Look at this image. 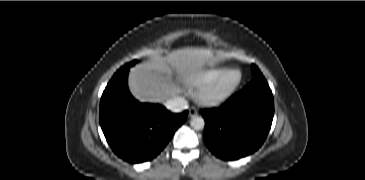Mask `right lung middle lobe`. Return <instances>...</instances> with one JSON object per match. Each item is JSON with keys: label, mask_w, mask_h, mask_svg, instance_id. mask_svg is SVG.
I'll return each mask as SVG.
<instances>
[{"label": "right lung middle lobe", "mask_w": 365, "mask_h": 180, "mask_svg": "<svg viewBox=\"0 0 365 180\" xmlns=\"http://www.w3.org/2000/svg\"><path fill=\"white\" fill-rule=\"evenodd\" d=\"M137 63V60H134V61H132V62H130V63H128V64H126V65H124L123 67H131V66H133L134 64H136ZM121 69V68H120Z\"/></svg>", "instance_id": "obj_1"}]
</instances>
